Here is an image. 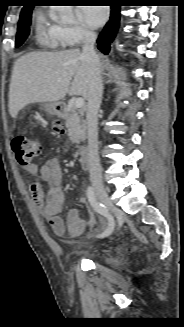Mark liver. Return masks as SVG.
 I'll use <instances>...</instances> for the list:
<instances>
[{
    "instance_id": "6515ba94",
    "label": "liver",
    "mask_w": 184,
    "mask_h": 327,
    "mask_svg": "<svg viewBox=\"0 0 184 327\" xmlns=\"http://www.w3.org/2000/svg\"><path fill=\"white\" fill-rule=\"evenodd\" d=\"M90 69L79 49L32 52L18 58L9 87V113L16 118L26 105L58 102L66 94L88 100Z\"/></svg>"
}]
</instances>
